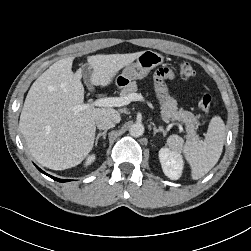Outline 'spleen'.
Here are the masks:
<instances>
[{
  "label": "spleen",
  "instance_id": "obj_1",
  "mask_svg": "<svg viewBox=\"0 0 251 251\" xmlns=\"http://www.w3.org/2000/svg\"><path fill=\"white\" fill-rule=\"evenodd\" d=\"M225 142V124L220 116L210 120L204 141L188 140L178 135H170L166 145L173 152H183L191 167L194 180L203 177L218 162Z\"/></svg>",
  "mask_w": 251,
  "mask_h": 251
}]
</instances>
